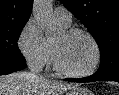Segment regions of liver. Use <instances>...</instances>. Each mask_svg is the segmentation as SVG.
Returning <instances> with one entry per match:
<instances>
[{
    "instance_id": "obj_1",
    "label": "liver",
    "mask_w": 119,
    "mask_h": 95,
    "mask_svg": "<svg viewBox=\"0 0 119 95\" xmlns=\"http://www.w3.org/2000/svg\"><path fill=\"white\" fill-rule=\"evenodd\" d=\"M28 72H14L0 76V95H62L76 85L48 80L42 77L32 78Z\"/></svg>"
}]
</instances>
